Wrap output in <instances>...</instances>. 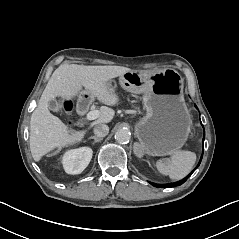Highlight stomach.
Returning a JSON list of instances; mask_svg holds the SVG:
<instances>
[{
    "mask_svg": "<svg viewBox=\"0 0 239 239\" xmlns=\"http://www.w3.org/2000/svg\"><path fill=\"white\" fill-rule=\"evenodd\" d=\"M119 79L124 89L143 95L146 114L134 125L142 153L158 157L179 152L192 125L181 76L165 71L132 70ZM111 84L115 89L114 81ZM84 95L89 96L88 91Z\"/></svg>",
    "mask_w": 239,
    "mask_h": 239,
    "instance_id": "1",
    "label": "stomach"
}]
</instances>
